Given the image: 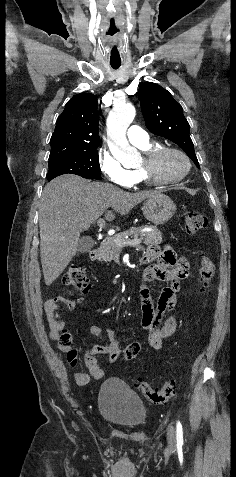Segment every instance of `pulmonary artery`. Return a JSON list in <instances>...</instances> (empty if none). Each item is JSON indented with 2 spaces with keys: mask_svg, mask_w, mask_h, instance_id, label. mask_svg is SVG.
<instances>
[{
  "mask_svg": "<svg viewBox=\"0 0 236 477\" xmlns=\"http://www.w3.org/2000/svg\"><path fill=\"white\" fill-rule=\"evenodd\" d=\"M127 137L129 141L136 146L145 145L149 142L148 133L136 125L129 127L127 130Z\"/></svg>",
  "mask_w": 236,
  "mask_h": 477,
  "instance_id": "pulmonary-artery-1",
  "label": "pulmonary artery"
}]
</instances>
